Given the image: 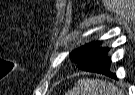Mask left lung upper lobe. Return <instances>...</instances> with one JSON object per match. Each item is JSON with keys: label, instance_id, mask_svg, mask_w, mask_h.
I'll list each match as a JSON object with an SVG mask.
<instances>
[{"label": "left lung upper lobe", "instance_id": "obj_1", "mask_svg": "<svg viewBox=\"0 0 135 95\" xmlns=\"http://www.w3.org/2000/svg\"><path fill=\"white\" fill-rule=\"evenodd\" d=\"M99 42L89 43L85 46H82L70 53L72 60L77 63L78 68H82L88 59V57L96 51L98 48Z\"/></svg>", "mask_w": 135, "mask_h": 95}]
</instances>
